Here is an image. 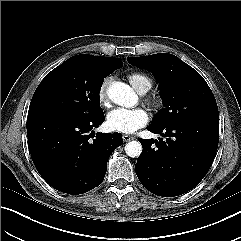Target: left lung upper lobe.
<instances>
[{"mask_svg":"<svg viewBox=\"0 0 241 241\" xmlns=\"http://www.w3.org/2000/svg\"><path fill=\"white\" fill-rule=\"evenodd\" d=\"M140 68L152 71L159 82L165 105L153 122V127H164L185 121L219 123L214 95L204 78L191 66L169 53L144 57H128Z\"/></svg>","mask_w":241,"mask_h":241,"instance_id":"5c2ea615","label":"left lung upper lobe"}]
</instances>
